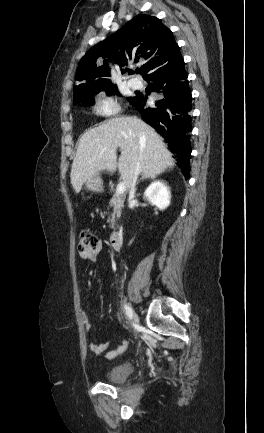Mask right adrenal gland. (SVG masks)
I'll return each mask as SVG.
<instances>
[{
	"label": "right adrenal gland",
	"instance_id": "right-adrenal-gland-1",
	"mask_svg": "<svg viewBox=\"0 0 264 433\" xmlns=\"http://www.w3.org/2000/svg\"><path fill=\"white\" fill-rule=\"evenodd\" d=\"M155 177H153V176H146V175H143L141 178H140V180L137 182V185L140 183V182H142L143 180H145V179H151V180H153Z\"/></svg>",
	"mask_w": 264,
	"mask_h": 433
}]
</instances>
